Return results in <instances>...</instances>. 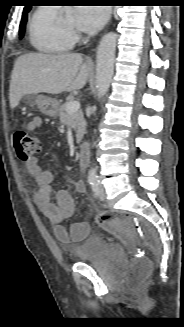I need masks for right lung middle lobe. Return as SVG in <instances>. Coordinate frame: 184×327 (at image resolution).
<instances>
[{"label": "right lung middle lobe", "mask_w": 184, "mask_h": 327, "mask_svg": "<svg viewBox=\"0 0 184 327\" xmlns=\"http://www.w3.org/2000/svg\"><path fill=\"white\" fill-rule=\"evenodd\" d=\"M26 21H27V14H24V15L22 16V20H21L20 28H19V35H20V38H22L23 35H24Z\"/></svg>", "instance_id": "right-lung-middle-lobe-1"}]
</instances>
